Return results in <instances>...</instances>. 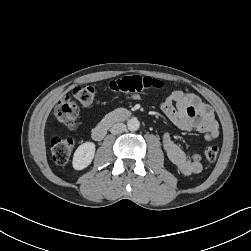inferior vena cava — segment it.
<instances>
[{
    "mask_svg": "<svg viewBox=\"0 0 251 251\" xmlns=\"http://www.w3.org/2000/svg\"><path fill=\"white\" fill-rule=\"evenodd\" d=\"M126 130V125L124 123H115L111 129L110 132L114 135L121 134Z\"/></svg>",
    "mask_w": 251,
    "mask_h": 251,
    "instance_id": "602c4592",
    "label": "inferior vena cava"
}]
</instances>
